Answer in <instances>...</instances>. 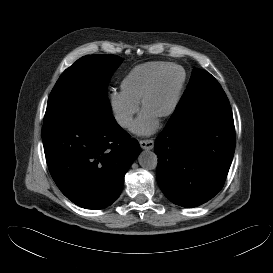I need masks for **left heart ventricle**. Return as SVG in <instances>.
Segmentation results:
<instances>
[{"instance_id":"b2bd125f","label":"left heart ventricle","mask_w":273,"mask_h":273,"mask_svg":"<svg viewBox=\"0 0 273 273\" xmlns=\"http://www.w3.org/2000/svg\"><path fill=\"white\" fill-rule=\"evenodd\" d=\"M180 74L176 71L167 73L159 81L155 92L148 99L145 111L155 117L162 116L171 107L178 84Z\"/></svg>"}]
</instances>
